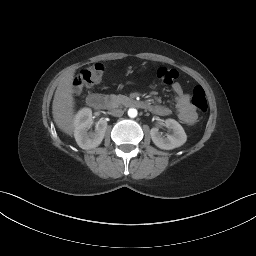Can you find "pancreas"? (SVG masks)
Wrapping results in <instances>:
<instances>
[{"instance_id":"obj_1","label":"pancreas","mask_w":256,"mask_h":256,"mask_svg":"<svg viewBox=\"0 0 256 256\" xmlns=\"http://www.w3.org/2000/svg\"><path fill=\"white\" fill-rule=\"evenodd\" d=\"M108 100H109V104L112 106V107H116V106H119L123 103H125L126 101L129 100V98L127 96H124V95H114V94H111L110 96H107Z\"/></svg>"}]
</instances>
